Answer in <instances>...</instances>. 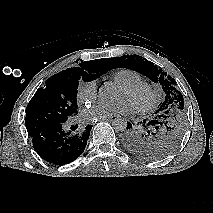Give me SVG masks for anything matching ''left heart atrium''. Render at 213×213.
<instances>
[{
  "instance_id": "39dd6f15",
  "label": "left heart atrium",
  "mask_w": 213,
  "mask_h": 213,
  "mask_svg": "<svg viewBox=\"0 0 213 213\" xmlns=\"http://www.w3.org/2000/svg\"><path fill=\"white\" fill-rule=\"evenodd\" d=\"M132 112V106L126 102L121 101L114 105L105 103H97L87 108L84 113V119L86 121H95L107 117L128 115Z\"/></svg>"
}]
</instances>
